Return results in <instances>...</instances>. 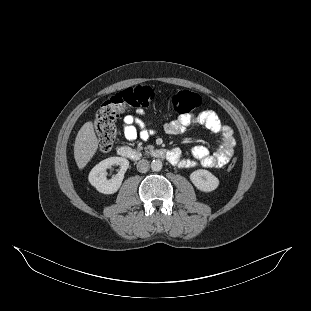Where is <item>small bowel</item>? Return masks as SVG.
Instances as JSON below:
<instances>
[{"label": "small bowel", "mask_w": 311, "mask_h": 311, "mask_svg": "<svg viewBox=\"0 0 311 311\" xmlns=\"http://www.w3.org/2000/svg\"><path fill=\"white\" fill-rule=\"evenodd\" d=\"M197 124L204 126L211 132L220 135V141L214 152L204 145H197L191 151V157H183L180 150H171L174 160L171 162L179 167L193 168L201 165L205 168H222L231 159L236 140L232 129L223 124L218 115L210 110L201 111L196 114H184L167 123L165 131L169 134H180L188 126ZM156 133L148 128L142 119L132 114H128L122 121V135L129 141L135 140L138 136L148 139Z\"/></svg>", "instance_id": "1"}]
</instances>
